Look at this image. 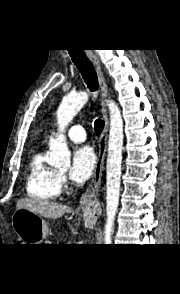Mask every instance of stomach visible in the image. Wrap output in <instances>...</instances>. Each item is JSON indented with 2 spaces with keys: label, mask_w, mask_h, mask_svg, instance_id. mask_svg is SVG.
Wrapping results in <instances>:
<instances>
[{
  "label": "stomach",
  "mask_w": 180,
  "mask_h": 294,
  "mask_svg": "<svg viewBox=\"0 0 180 294\" xmlns=\"http://www.w3.org/2000/svg\"><path fill=\"white\" fill-rule=\"evenodd\" d=\"M12 226L23 244H40L48 235V225L43 217L26 209L14 212Z\"/></svg>",
  "instance_id": "stomach-1"
}]
</instances>
